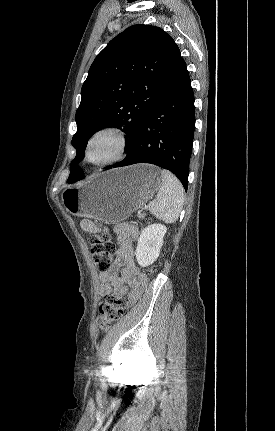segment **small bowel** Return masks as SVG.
I'll use <instances>...</instances> for the list:
<instances>
[{
  "mask_svg": "<svg viewBox=\"0 0 275 431\" xmlns=\"http://www.w3.org/2000/svg\"><path fill=\"white\" fill-rule=\"evenodd\" d=\"M81 226L86 232L99 231L97 226L88 220L83 221ZM113 233L117 241V255L111 267L99 274V295L104 297L112 292L123 295L130 286L132 294L128 298V305H133L141 297L146 284L133 257L134 243L139 236V231L134 225L121 223L114 227Z\"/></svg>",
  "mask_w": 275,
  "mask_h": 431,
  "instance_id": "c3829d8e",
  "label": "small bowel"
}]
</instances>
